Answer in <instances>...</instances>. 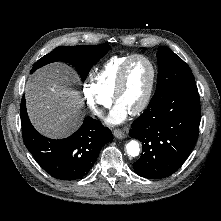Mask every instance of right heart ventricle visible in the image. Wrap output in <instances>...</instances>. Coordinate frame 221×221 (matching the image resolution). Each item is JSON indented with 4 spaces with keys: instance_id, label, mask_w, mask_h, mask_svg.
Here are the masks:
<instances>
[{
    "instance_id": "obj_1",
    "label": "right heart ventricle",
    "mask_w": 221,
    "mask_h": 221,
    "mask_svg": "<svg viewBox=\"0 0 221 221\" xmlns=\"http://www.w3.org/2000/svg\"><path fill=\"white\" fill-rule=\"evenodd\" d=\"M130 56L132 54L112 56L96 71L94 84L104 95L113 97L120 70Z\"/></svg>"
}]
</instances>
